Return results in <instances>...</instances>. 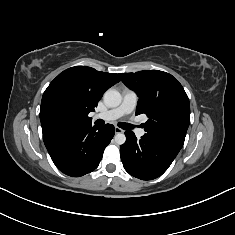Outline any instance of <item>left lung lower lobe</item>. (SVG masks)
Returning <instances> with one entry per match:
<instances>
[{"label": "left lung lower lobe", "mask_w": 235, "mask_h": 235, "mask_svg": "<svg viewBox=\"0 0 235 235\" xmlns=\"http://www.w3.org/2000/svg\"><path fill=\"white\" fill-rule=\"evenodd\" d=\"M126 142L120 146V156L125 170L142 180L161 176L180 151L177 145L144 135L137 140L132 131H126Z\"/></svg>", "instance_id": "left-lung-lower-lobe-1"}]
</instances>
